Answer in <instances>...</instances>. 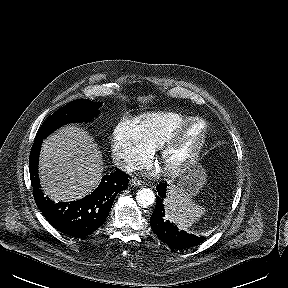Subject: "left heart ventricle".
<instances>
[{
  "label": "left heart ventricle",
  "instance_id": "left-heart-ventricle-1",
  "mask_svg": "<svg viewBox=\"0 0 288 288\" xmlns=\"http://www.w3.org/2000/svg\"><path fill=\"white\" fill-rule=\"evenodd\" d=\"M201 130V125H192L169 153L167 157V163L170 164L183 159L189 153L196 140L199 138Z\"/></svg>",
  "mask_w": 288,
  "mask_h": 288
}]
</instances>
